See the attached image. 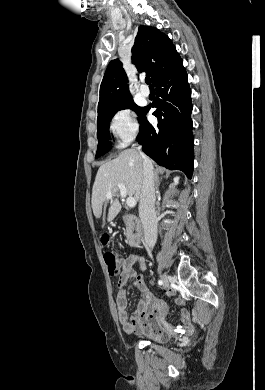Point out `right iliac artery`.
<instances>
[{"label": "right iliac artery", "instance_id": "82829eb1", "mask_svg": "<svg viewBox=\"0 0 265 390\" xmlns=\"http://www.w3.org/2000/svg\"><path fill=\"white\" fill-rule=\"evenodd\" d=\"M158 284H159V285H162V284H163V281H162V280H159V281H158Z\"/></svg>", "mask_w": 265, "mask_h": 390}]
</instances>
